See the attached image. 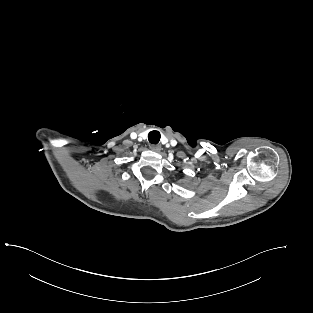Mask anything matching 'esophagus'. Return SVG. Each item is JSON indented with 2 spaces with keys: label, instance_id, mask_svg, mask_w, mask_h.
Masks as SVG:
<instances>
[{
  "label": "esophagus",
  "instance_id": "esophagus-1",
  "mask_svg": "<svg viewBox=\"0 0 313 313\" xmlns=\"http://www.w3.org/2000/svg\"><path fill=\"white\" fill-rule=\"evenodd\" d=\"M149 147L152 151L155 152H159L161 150V147L159 145L151 144Z\"/></svg>",
  "mask_w": 313,
  "mask_h": 313
}]
</instances>
